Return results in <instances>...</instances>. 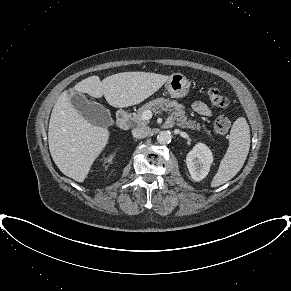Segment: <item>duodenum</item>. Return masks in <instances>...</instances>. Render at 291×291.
<instances>
[{
    "label": "duodenum",
    "instance_id": "410a0bca",
    "mask_svg": "<svg viewBox=\"0 0 291 291\" xmlns=\"http://www.w3.org/2000/svg\"><path fill=\"white\" fill-rule=\"evenodd\" d=\"M117 120L122 129H128L130 127V119L128 113L125 110H120L118 112Z\"/></svg>",
    "mask_w": 291,
    "mask_h": 291
}]
</instances>
